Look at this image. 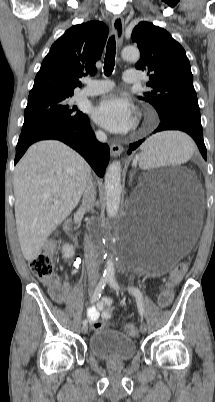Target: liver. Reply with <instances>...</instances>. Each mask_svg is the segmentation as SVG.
Instances as JSON below:
<instances>
[{"mask_svg": "<svg viewBox=\"0 0 215 402\" xmlns=\"http://www.w3.org/2000/svg\"><path fill=\"white\" fill-rule=\"evenodd\" d=\"M90 178L89 164L62 142L45 140L28 148L13 179L17 234L27 261L71 214Z\"/></svg>", "mask_w": 215, "mask_h": 402, "instance_id": "liver-1", "label": "liver"}]
</instances>
